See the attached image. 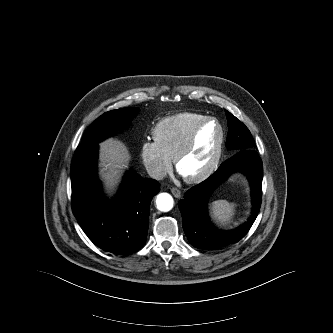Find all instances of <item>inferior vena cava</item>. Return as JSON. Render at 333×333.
Returning a JSON list of instances; mask_svg holds the SVG:
<instances>
[{"label": "inferior vena cava", "mask_w": 333, "mask_h": 333, "mask_svg": "<svg viewBox=\"0 0 333 333\" xmlns=\"http://www.w3.org/2000/svg\"><path fill=\"white\" fill-rule=\"evenodd\" d=\"M149 176L156 180H162L166 176V172L158 166H149L147 168Z\"/></svg>", "instance_id": "inferior-vena-cava-1"}]
</instances>
